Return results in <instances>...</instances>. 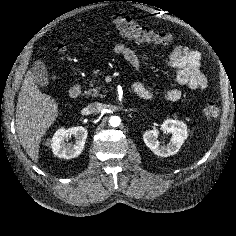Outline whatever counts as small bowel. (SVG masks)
I'll list each match as a JSON object with an SVG mask.
<instances>
[{"label":"small bowel","mask_w":236,"mask_h":236,"mask_svg":"<svg viewBox=\"0 0 236 236\" xmlns=\"http://www.w3.org/2000/svg\"><path fill=\"white\" fill-rule=\"evenodd\" d=\"M113 51L122 56L135 72L141 71L142 58L140 54L124 44H116ZM201 58V53L198 50L188 46H178L170 53L166 62L174 70L175 80L179 85L198 91L205 90L208 86L207 78L200 70ZM133 92L148 101L176 102L182 96L181 90L177 88L163 93H155L140 82L133 85Z\"/></svg>","instance_id":"obj_1"}]
</instances>
